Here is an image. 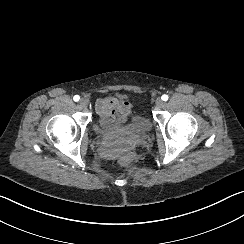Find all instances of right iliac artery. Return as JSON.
Masks as SVG:
<instances>
[{"label": "right iliac artery", "mask_w": 244, "mask_h": 244, "mask_svg": "<svg viewBox=\"0 0 244 244\" xmlns=\"http://www.w3.org/2000/svg\"><path fill=\"white\" fill-rule=\"evenodd\" d=\"M79 99H80V97H79L78 95H75V96L73 97V100H74L75 102L79 101Z\"/></svg>", "instance_id": "right-iliac-artery-1"}]
</instances>
